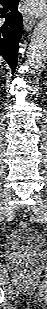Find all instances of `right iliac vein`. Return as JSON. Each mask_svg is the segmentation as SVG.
<instances>
[{
	"label": "right iliac vein",
	"instance_id": "obj_1",
	"mask_svg": "<svg viewBox=\"0 0 47 309\" xmlns=\"http://www.w3.org/2000/svg\"><path fill=\"white\" fill-rule=\"evenodd\" d=\"M11 198V191L6 190L2 193L0 202V219L4 220L8 216L7 202Z\"/></svg>",
	"mask_w": 47,
	"mask_h": 309
}]
</instances>
